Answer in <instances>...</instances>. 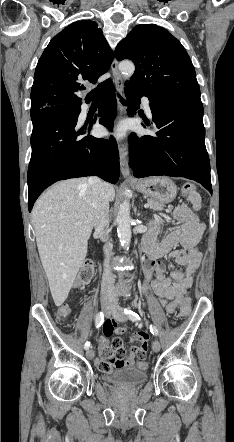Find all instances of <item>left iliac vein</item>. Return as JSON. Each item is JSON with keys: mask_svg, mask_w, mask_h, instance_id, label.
I'll return each mask as SVG.
<instances>
[{"mask_svg": "<svg viewBox=\"0 0 234 442\" xmlns=\"http://www.w3.org/2000/svg\"><path fill=\"white\" fill-rule=\"evenodd\" d=\"M111 313L113 315V317L120 322H124L127 320L126 315L124 314V312L122 311V309L119 307V305L117 304V301L114 300V302L112 303L111 306ZM152 349L154 352H158L160 350V343L157 339H155L152 343Z\"/></svg>", "mask_w": 234, "mask_h": 442, "instance_id": "left-iliac-vein-1", "label": "left iliac vein"}]
</instances>
